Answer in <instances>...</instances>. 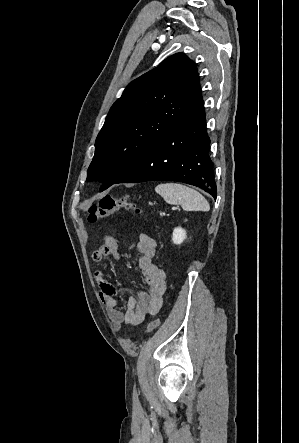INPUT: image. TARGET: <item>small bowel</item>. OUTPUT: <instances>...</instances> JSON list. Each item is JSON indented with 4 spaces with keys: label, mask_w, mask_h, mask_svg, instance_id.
Listing matches in <instances>:
<instances>
[{
    "label": "small bowel",
    "mask_w": 299,
    "mask_h": 443,
    "mask_svg": "<svg viewBox=\"0 0 299 443\" xmlns=\"http://www.w3.org/2000/svg\"><path fill=\"white\" fill-rule=\"evenodd\" d=\"M119 247L116 238L104 236L103 244L93 253V261L102 263L110 257L120 261ZM129 247H135L139 253L138 268L145 278L147 288L146 290L137 291L129 297L126 311H121L118 308L115 297L116 287L107 280L105 272L97 270L94 273L99 288V296L116 329L123 326H138L144 321L147 314H157L162 307L163 295L166 289L165 273L153 263L157 248L156 241L146 234H140L137 242Z\"/></svg>",
    "instance_id": "1"
}]
</instances>
